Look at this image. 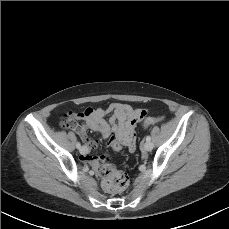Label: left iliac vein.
Returning <instances> with one entry per match:
<instances>
[{
    "label": "left iliac vein",
    "instance_id": "1",
    "mask_svg": "<svg viewBox=\"0 0 229 229\" xmlns=\"http://www.w3.org/2000/svg\"><path fill=\"white\" fill-rule=\"evenodd\" d=\"M144 149H145L146 151H151V150L153 149V143L150 142V141L145 142V144H144Z\"/></svg>",
    "mask_w": 229,
    "mask_h": 229
}]
</instances>
